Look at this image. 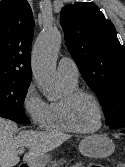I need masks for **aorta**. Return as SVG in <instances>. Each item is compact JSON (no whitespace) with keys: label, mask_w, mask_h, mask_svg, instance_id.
Returning a JSON list of instances; mask_svg holds the SVG:
<instances>
[{"label":"aorta","mask_w":125,"mask_h":167,"mask_svg":"<svg viewBox=\"0 0 125 167\" xmlns=\"http://www.w3.org/2000/svg\"><path fill=\"white\" fill-rule=\"evenodd\" d=\"M61 40L58 30H45L38 37L33 50V77L48 100H54L58 96L55 85V59Z\"/></svg>","instance_id":"1"}]
</instances>
